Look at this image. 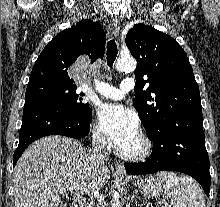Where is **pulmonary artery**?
Returning <instances> with one entry per match:
<instances>
[{
  "mask_svg": "<svg viewBox=\"0 0 220 207\" xmlns=\"http://www.w3.org/2000/svg\"><path fill=\"white\" fill-rule=\"evenodd\" d=\"M134 88V80L132 78L124 79L119 88H116L107 83L97 84L95 89L103 97L108 99L119 100L124 97V95Z\"/></svg>",
  "mask_w": 220,
  "mask_h": 207,
  "instance_id": "pulmonary-artery-1",
  "label": "pulmonary artery"
}]
</instances>
